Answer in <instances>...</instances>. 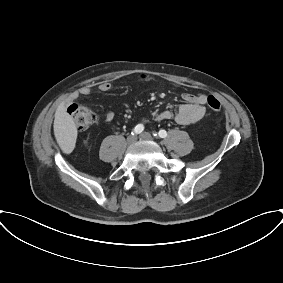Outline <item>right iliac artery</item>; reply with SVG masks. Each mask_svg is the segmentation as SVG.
<instances>
[{
    "label": "right iliac artery",
    "mask_w": 283,
    "mask_h": 283,
    "mask_svg": "<svg viewBox=\"0 0 283 283\" xmlns=\"http://www.w3.org/2000/svg\"><path fill=\"white\" fill-rule=\"evenodd\" d=\"M144 130V126L142 124H138L133 129L132 135L140 134Z\"/></svg>",
    "instance_id": "1"
}]
</instances>
